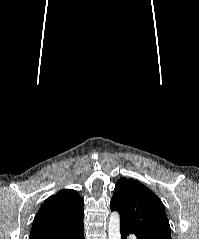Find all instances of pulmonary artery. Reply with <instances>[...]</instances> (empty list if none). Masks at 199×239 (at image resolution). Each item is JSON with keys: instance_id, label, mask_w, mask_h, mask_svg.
<instances>
[{"instance_id": "e3ab8cb5", "label": "pulmonary artery", "mask_w": 199, "mask_h": 239, "mask_svg": "<svg viewBox=\"0 0 199 239\" xmlns=\"http://www.w3.org/2000/svg\"><path fill=\"white\" fill-rule=\"evenodd\" d=\"M131 239H136V237L135 236H131Z\"/></svg>"}]
</instances>
